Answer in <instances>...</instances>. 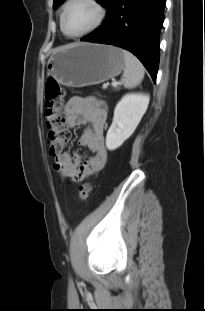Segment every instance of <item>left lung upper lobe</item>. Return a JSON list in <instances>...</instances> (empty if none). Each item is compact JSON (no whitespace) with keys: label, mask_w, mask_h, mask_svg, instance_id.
<instances>
[{"label":"left lung upper lobe","mask_w":205,"mask_h":311,"mask_svg":"<svg viewBox=\"0 0 205 311\" xmlns=\"http://www.w3.org/2000/svg\"><path fill=\"white\" fill-rule=\"evenodd\" d=\"M65 0H54V4L53 7L56 8L59 5H61ZM100 4H102L103 6H105L107 8V14L111 9V6L114 2V0H97Z\"/></svg>","instance_id":"obj_1"}]
</instances>
